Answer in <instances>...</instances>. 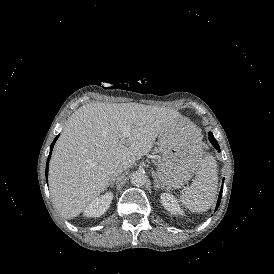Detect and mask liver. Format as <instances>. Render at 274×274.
Wrapping results in <instances>:
<instances>
[{
	"label": "liver",
	"instance_id": "1",
	"mask_svg": "<svg viewBox=\"0 0 274 274\" xmlns=\"http://www.w3.org/2000/svg\"><path fill=\"white\" fill-rule=\"evenodd\" d=\"M185 119L176 110L135 102L80 107L65 123L49 164L56 207L66 218L78 216L116 178L118 166L132 167L158 136L177 133Z\"/></svg>",
	"mask_w": 274,
	"mask_h": 274
}]
</instances>
